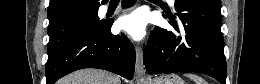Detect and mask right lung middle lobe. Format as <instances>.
Masks as SVG:
<instances>
[{"label":"right lung middle lobe","mask_w":260,"mask_h":84,"mask_svg":"<svg viewBox=\"0 0 260 84\" xmlns=\"http://www.w3.org/2000/svg\"><path fill=\"white\" fill-rule=\"evenodd\" d=\"M106 24L99 20L98 12L86 14L65 22L59 26L48 28L50 40L47 47L48 58L53 56L71 40L99 34Z\"/></svg>","instance_id":"right-lung-middle-lobe-1"}]
</instances>
